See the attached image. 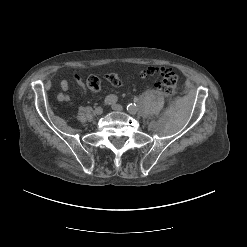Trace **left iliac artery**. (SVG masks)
Wrapping results in <instances>:
<instances>
[{
  "mask_svg": "<svg viewBox=\"0 0 247 247\" xmlns=\"http://www.w3.org/2000/svg\"><path fill=\"white\" fill-rule=\"evenodd\" d=\"M138 104L130 103L127 105L128 113L132 116H137L139 114V107Z\"/></svg>",
  "mask_w": 247,
  "mask_h": 247,
  "instance_id": "left-iliac-artery-1",
  "label": "left iliac artery"
}]
</instances>
